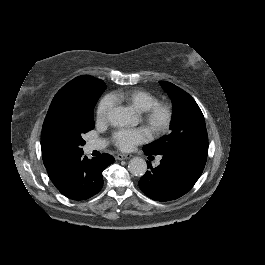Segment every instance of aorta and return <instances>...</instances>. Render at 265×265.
<instances>
[{
  "label": "aorta",
  "mask_w": 265,
  "mask_h": 265,
  "mask_svg": "<svg viewBox=\"0 0 265 265\" xmlns=\"http://www.w3.org/2000/svg\"><path fill=\"white\" fill-rule=\"evenodd\" d=\"M108 120L113 126L123 127L130 124L128 110L124 107H117L109 112ZM128 169L134 176H142L147 170L146 161L140 157H134L129 161Z\"/></svg>",
  "instance_id": "aorta-1"
}]
</instances>
